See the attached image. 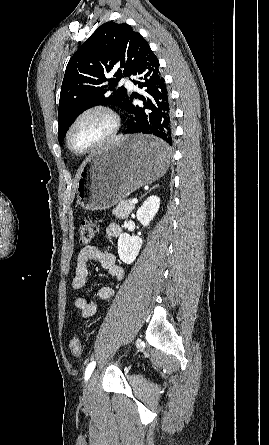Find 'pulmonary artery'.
<instances>
[{"label":"pulmonary artery","mask_w":269,"mask_h":445,"mask_svg":"<svg viewBox=\"0 0 269 445\" xmlns=\"http://www.w3.org/2000/svg\"><path fill=\"white\" fill-rule=\"evenodd\" d=\"M120 83L124 84L127 88H133L134 87L133 83L129 79H127V78H123L120 81Z\"/></svg>","instance_id":"e3ab8cb5"}]
</instances>
